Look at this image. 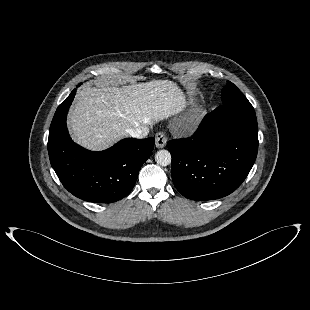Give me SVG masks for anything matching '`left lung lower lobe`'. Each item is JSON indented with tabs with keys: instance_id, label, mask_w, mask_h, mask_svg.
<instances>
[{
	"instance_id": "1",
	"label": "left lung lower lobe",
	"mask_w": 310,
	"mask_h": 310,
	"mask_svg": "<svg viewBox=\"0 0 310 310\" xmlns=\"http://www.w3.org/2000/svg\"><path fill=\"white\" fill-rule=\"evenodd\" d=\"M171 173L185 197L213 200L244 181L258 151V127L248 100L224 103L207 114L191 138L170 140Z\"/></svg>"
}]
</instances>
